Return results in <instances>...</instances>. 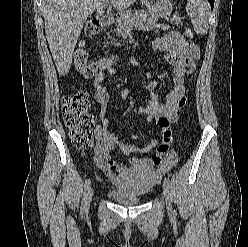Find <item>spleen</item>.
Returning a JSON list of instances; mask_svg holds the SVG:
<instances>
[{
  "mask_svg": "<svg viewBox=\"0 0 248 247\" xmlns=\"http://www.w3.org/2000/svg\"><path fill=\"white\" fill-rule=\"evenodd\" d=\"M186 12L191 18L194 31L205 35L209 27V5L204 0H188Z\"/></svg>",
  "mask_w": 248,
  "mask_h": 247,
  "instance_id": "spleen-1",
  "label": "spleen"
}]
</instances>
